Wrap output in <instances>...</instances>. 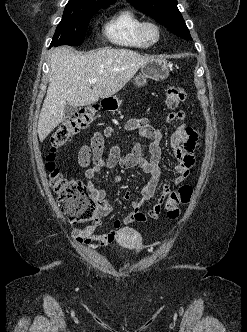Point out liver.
<instances>
[{
    "instance_id": "obj_1",
    "label": "liver",
    "mask_w": 247,
    "mask_h": 332,
    "mask_svg": "<svg viewBox=\"0 0 247 332\" xmlns=\"http://www.w3.org/2000/svg\"><path fill=\"white\" fill-rule=\"evenodd\" d=\"M152 59L155 57L127 49L105 47L78 55L67 46L55 48L50 57L49 87L38 120L40 142L64 120L67 104L86 106L113 96ZM91 79H97L92 87Z\"/></svg>"
}]
</instances>
